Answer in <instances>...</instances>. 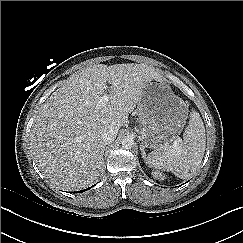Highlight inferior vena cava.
Here are the masks:
<instances>
[{
    "mask_svg": "<svg viewBox=\"0 0 243 243\" xmlns=\"http://www.w3.org/2000/svg\"><path fill=\"white\" fill-rule=\"evenodd\" d=\"M117 133H118L117 127L108 126L102 132L101 139L104 142V144H110L115 140Z\"/></svg>",
    "mask_w": 243,
    "mask_h": 243,
    "instance_id": "inferior-vena-cava-1",
    "label": "inferior vena cava"
}]
</instances>
